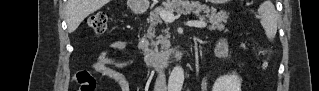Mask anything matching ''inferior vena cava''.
Masks as SVG:
<instances>
[{
    "label": "inferior vena cava",
    "mask_w": 319,
    "mask_h": 91,
    "mask_svg": "<svg viewBox=\"0 0 319 91\" xmlns=\"http://www.w3.org/2000/svg\"><path fill=\"white\" fill-rule=\"evenodd\" d=\"M154 91H167L165 73L161 70L158 71Z\"/></svg>",
    "instance_id": "inferior-vena-cava-1"
}]
</instances>
